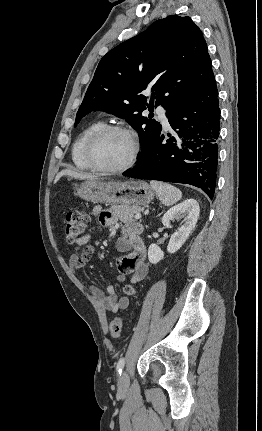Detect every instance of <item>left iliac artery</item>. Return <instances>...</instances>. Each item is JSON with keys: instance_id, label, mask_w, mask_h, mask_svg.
Returning a JSON list of instances; mask_svg holds the SVG:
<instances>
[{"instance_id": "1", "label": "left iliac artery", "mask_w": 262, "mask_h": 431, "mask_svg": "<svg viewBox=\"0 0 262 431\" xmlns=\"http://www.w3.org/2000/svg\"><path fill=\"white\" fill-rule=\"evenodd\" d=\"M124 365H125V359L124 358H120L119 361H118V363H117V368H116L117 372L119 374H121V372H122V370L124 368Z\"/></svg>"}]
</instances>
